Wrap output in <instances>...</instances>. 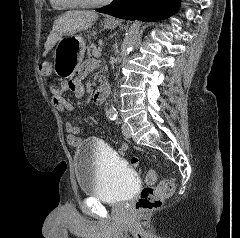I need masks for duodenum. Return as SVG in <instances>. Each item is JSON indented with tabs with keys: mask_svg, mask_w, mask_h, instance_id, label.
Instances as JSON below:
<instances>
[{
	"mask_svg": "<svg viewBox=\"0 0 240 238\" xmlns=\"http://www.w3.org/2000/svg\"><path fill=\"white\" fill-rule=\"evenodd\" d=\"M110 92V85L106 80H103L94 94V102L97 105L103 104Z\"/></svg>",
	"mask_w": 240,
	"mask_h": 238,
	"instance_id": "duodenum-1",
	"label": "duodenum"
}]
</instances>
